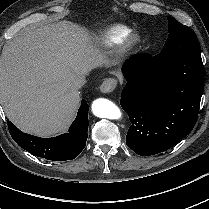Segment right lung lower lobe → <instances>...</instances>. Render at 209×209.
Masks as SVG:
<instances>
[{
    "label": "right lung lower lobe",
    "instance_id": "1",
    "mask_svg": "<svg viewBox=\"0 0 209 209\" xmlns=\"http://www.w3.org/2000/svg\"><path fill=\"white\" fill-rule=\"evenodd\" d=\"M88 111L86 101L82 100L69 132L48 139L23 133L10 121L7 123L12 138L24 150L47 160L65 161L76 158L86 146L89 125Z\"/></svg>",
    "mask_w": 209,
    "mask_h": 209
}]
</instances>
